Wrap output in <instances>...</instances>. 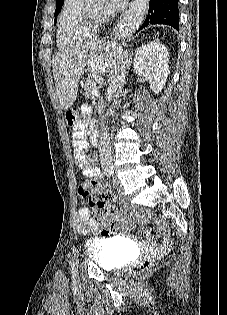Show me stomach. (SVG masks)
Masks as SVG:
<instances>
[{
	"label": "stomach",
	"instance_id": "0dacf381",
	"mask_svg": "<svg viewBox=\"0 0 227 315\" xmlns=\"http://www.w3.org/2000/svg\"><path fill=\"white\" fill-rule=\"evenodd\" d=\"M95 73H96L95 68H85L84 69V71L82 73L84 80L78 81V86H79L80 91H89V89H90L89 82H94ZM72 114L74 116H77V113L75 111L72 112Z\"/></svg>",
	"mask_w": 227,
	"mask_h": 315
}]
</instances>
